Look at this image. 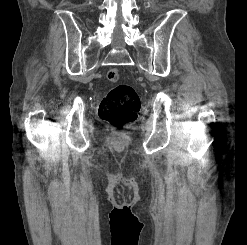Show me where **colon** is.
<instances>
[{
	"mask_svg": "<svg viewBox=\"0 0 247 245\" xmlns=\"http://www.w3.org/2000/svg\"><path fill=\"white\" fill-rule=\"evenodd\" d=\"M120 78L117 68L107 72V79L116 83ZM141 103L135 89L130 85L119 84L113 87L102 99L99 117L110 126L121 129L133 123L140 112Z\"/></svg>",
	"mask_w": 247,
	"mask_h": 245,
	"instance_id": "obj_1",
	"label": "colon"
}]
</instances>
